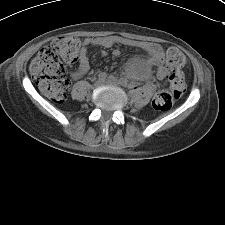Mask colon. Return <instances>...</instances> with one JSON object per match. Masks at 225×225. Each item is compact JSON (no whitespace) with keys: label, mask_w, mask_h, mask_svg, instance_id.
<instances>
[{"label":"colon","mask_w":225,"mask_h":225,"mask_svg":"<svg viewBox=\"0 0 225 225\" xmlns=\"http://www.w3.org/2000/svg\"><path fill=\"white\" fill-rule=\"evenodd\" d=\"M79 42L71 36H61L45 45L30 64V74L40 91L55 103L66 99L69 81L65 76V63L78 58ZM187 59L182 51L171 48L166 54V66L158 71L161 78L169 80L170 87L157 92L152 104L156 110L168 111L179 99L185 87L182 69Z\"/></svg>","instance_id":"1"}]
</instances>
